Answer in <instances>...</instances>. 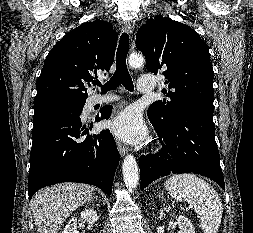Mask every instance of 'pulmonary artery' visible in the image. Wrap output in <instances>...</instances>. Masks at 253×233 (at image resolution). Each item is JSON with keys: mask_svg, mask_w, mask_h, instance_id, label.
I'll use <instances>...</instances> for the list:
<instances>
[{"mask_svg": "<svg viewBox=\"0 0 253 233\" xmlns=\"http://www.w3.org/2000/svg\"><path fill=\"white\" fill-rule=\"evenodd\" d=\"M156 86V81L152 77H146L142 76L138 78V90L142 93H151ZM116 100V97L113 96H107L103 98H95L93 103L98 104V103H111Z\"/></svg>", "mask_w": 253, "mask_h": 233, "instance_id": "obj_1", "label": "pulmonary artery"}]
</instances>
